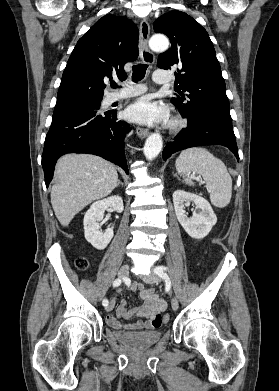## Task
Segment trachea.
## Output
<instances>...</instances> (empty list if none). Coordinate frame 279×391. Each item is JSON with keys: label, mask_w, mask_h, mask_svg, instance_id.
<instances>
[{"label": "trachea", "mask_w": 279, "mask_h": 391, "mask_svg": "<svg viewBox=\"0 0 279 391\" xmlns=\"http://www.w3.org/2000/svg\"><path fill=\"white\" fill-rule=\"evenodd\" d=\"M148 65L147 64H136L132 67L133 73H132V81L133 82H138L142 80L145 76L146 70H147ZM111 87L117 88V84L115 82L111 83Z\"/></svg>", "instance_id": "3493384b"}]
</instances>
